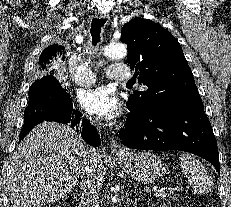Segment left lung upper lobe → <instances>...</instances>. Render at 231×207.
Returning a JSON list of instances; mask_svg holds the SVG:
<instances>
[{"label":"left lung upper lobe","instance_id":"1","mask_svg":"<svg viewBox=\"0 0 231 207\" xmlns=\"http://www.w3.org/2000/svg\"><path fill=\"white\" fill-rule=\"evenodd\" d=\"M121 41L128 46L127 61L138 82L126 105L133 114H156L202 103L192 71L176 38L149 19L136 18L123 26Z\"/></svg>","mask_w":231,"mask_h":207}]
</instances>
